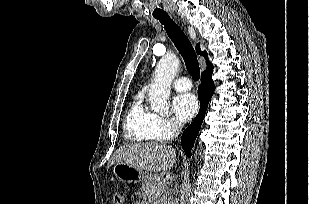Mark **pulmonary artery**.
<instances>
[{"label":"pulmonary artery","mask_w":309,"mask_h":204,"mask_svg":"<svg viewBox=\"0 0 309 204\" xmlns=\"http://www.w3.org/2000/svg\"><path fill=\"white\" fill-rule=\"evenodd\" d=\"M172 86L177 91H187L192 88V83L187 77H179L172 82Z\"/></svg>","instance_id":"e3ab8cb5"}]
</instances>
